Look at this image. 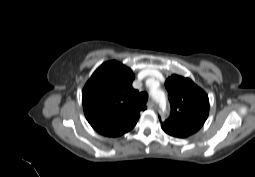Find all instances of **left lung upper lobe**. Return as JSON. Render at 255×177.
Here are the masks:
<instances>
[{
    "label": "left lung upper lobe",
    "instance_id": "obj_1",
    "mask_svg": "<svg viewBox=\"0 0 255 177\" xmlns=\"http://www.w3.org/2000/svg\"><path fill=\"white\" fill-rule=\"evenodd\" d=\"M171 105L170 117L161 123L167 134L185 138L196 133L209 113L207 94L191 79L172 75L165 82Z\"/></svg>",
    "mask_w": 255,
    "mask_h": 177
}]
</instances>
